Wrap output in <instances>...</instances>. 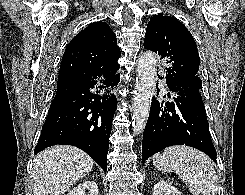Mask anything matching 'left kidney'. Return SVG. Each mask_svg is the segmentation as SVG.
Masks as SVG:
<instances>
[{
	"mask_svg": "<svg viewBox=\"0 0 245 195\" xmlns=\"http://www.w3.org/2000/svg\"><path fill=\"white\" fill-rule=\"evenodd\" d=\"M153 195H181V192L172 184L165 180H160L154 185Z\"/></svg>",
	"mask_w": 245,
	"mask_h": 195,
	"instance_id": "5707ae66",
	"label": "left kidney"
}]
</instances>
